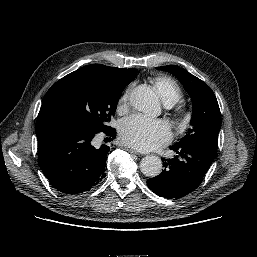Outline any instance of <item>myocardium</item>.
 Listing matches in <instances>:
<instances>
[{"label": "myocardium", "mask_w": 257, "mask_h": 257, "mask_svg": "<svg viewBox=\"0 0 257 257\" xmlns=\"http://www.w3.org/2000/svg\"><path fill=\"white\" fill-rule=\"evenodd\" d=\"M186 115L187 110L183 105H179L174 109V116L178 126H183L185 124Z\"/></svg>", "instance_id": "f54148a6"}]
</instances>
